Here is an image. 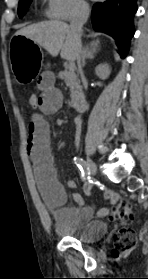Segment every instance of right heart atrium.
Returning <instances> with one entry per match:
<instances>
[{"mask_svg": "<svg viewBox=\"0 0 148 279\" xmlns=\"http://www.w3.org/2000/svg\"><path fill=\"white\" fill-rule=\"evenodd\" d=\"M47 15L57 20H72L84 16L88 11L85 0H47Z\"/></svg>", "mask_w": 148, "mask_h": 279, "instance_id": "obj_1", "label": "right heart atrium"}]
</instances>
